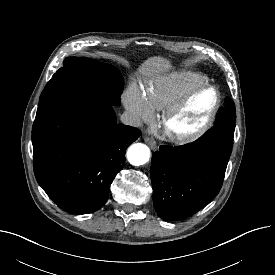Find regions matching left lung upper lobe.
Here are the masks:
<instances>
[{"instance_id": "5c2ea615", "label": "left lung upper lobe", "mask_w": 275, "mask_h": 275, "mask_svg": "<svg viewBox=\"0 0 275 275\" xmlns=\"http://www.w3.org/2000/svg\"><path fill=\"white\" fill-rule=\"evenodd\" d=\"M225 108L227 109L225 118L221 121H216L215 124H221L223 126L235 128V122H236L235 105H234V102L229 97H227L225 100Z\"/></svg>"}]
</instances>
